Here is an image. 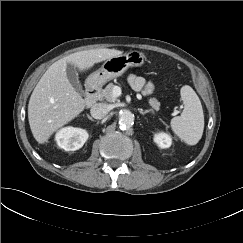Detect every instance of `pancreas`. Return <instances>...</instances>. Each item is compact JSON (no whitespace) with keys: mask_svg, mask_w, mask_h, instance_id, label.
<instances>
[{"mask_svg":"<svg viewBox=\"0 0 243 243\" xmlns=\"http://www.w3.org/2000/svg\"><path fill=\"white\" fill-rule=\"evenodd\" d=\"M115 86H116L115 84L109 83L105 87V89L102 90V92L100 94L101 99H105V100H107L109 102L115 101L116 98H114L113 95H112V91H113V88ZM148 103L153 108L152 110H155V111H158L159 110L160 103H159V101L156 98H149L148 99Z\"/></svg>","mask_w":243,"mask_h":243,"instance_id":"1","label":"pancreas"}]
</instances>
